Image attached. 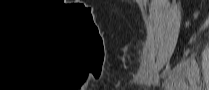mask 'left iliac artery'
<instances>
[{"label": "left iliac artery", "mask_w": 209, "mask_h": 90, "mask_svg": "<svg viewBox=\"0 0 209 90\" xmlns=\"http://www.w3.org/2000/svg\"><path fill=\"white\" fill-rule=\"evenodd\" d=\"M191 65H192L193 74L195 75L196 79L199 82V79H200L199 67H198V64H197V62H196V60L194 58L191 59Z\"/></svg>", "instance_id": "1"}]
</instances>
